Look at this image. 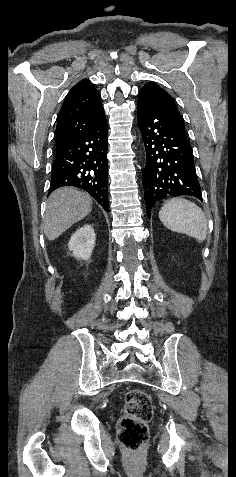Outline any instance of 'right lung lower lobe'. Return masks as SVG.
<instances>
[{
    "label": "right lung lower lobe",
    "instance_id": "right-lung-lower-lobe-1",
    "mask_svg": "<svg viewBox=\"0 0 236 477\" xmlns=\"http://www.w3.org/2000/svg\"><path fill=\"white\" fill-rule=\"evenodd\" d=\"M107 148L104 119L72 143L56 150L50 192L63 186H75L89 192L109 211Z\"/></svg>",
    "mask_w": 236,
    "mask_h": 477
}]
</instances>
